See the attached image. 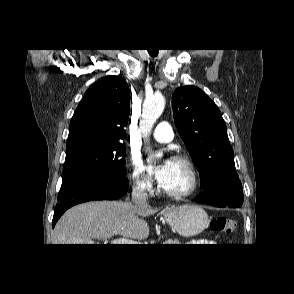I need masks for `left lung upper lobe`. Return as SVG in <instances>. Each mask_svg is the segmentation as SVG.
<instances>
[{"label":"left lung upper lobe","mask_w":294,"mask_h":294,"mask_svg":"<svg viewBox=\"0 0 294 294\" xmlns=\"http://www.w3.org/2000/svg\"><path fill=\"white\" fill-rule=\"evenodd\" d=\"M172 107L177 130L200 173L202 195L242 188L216 104L201 89L188 85L175 90Z\"/></svg>","instance_id":"obj_1"}]
</instances>
